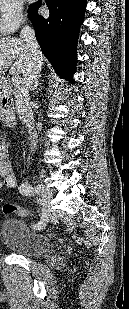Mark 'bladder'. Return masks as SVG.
Listing matches in <instances>:
<instances>
[{
	"mask_svg": "<svg viewBox=\"0 0 129 309\" xmlns=\"http://www.w3.org/2000/svg\"><path fill=\"white\" fill-rule=\"evenodd\" d=\"M0 237L7 248L27 257L39 256L52 246L47 235L31 229L20 218L5 219L1 225Z\"/></svg>",
	"mask_w": 129,
	"mask_h": 309,
	"instance_id": "bladder-1",
	"label": "bladder"
}]
</instances>
